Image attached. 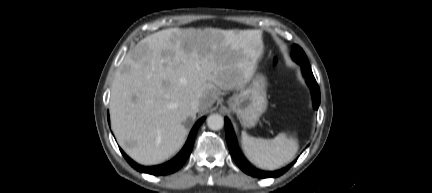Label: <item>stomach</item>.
Masks as SVG:
<instances>
[{"label": "stomach", "mask_w": 432, "mask_h": 193, "mask_svg": "<svg viewBox=\"0 0 432 193\" xmlns=\"http://www.w3.org/2000/svg\"><path fill=\"white\" fill-rule=\"evenodd\" d=\"M267 78L255 73L249 86L240 93L230 97L229 107L237 115L243 127H253L267 108Z\"/></svg>", "instance_id": "stomach-1"}]
</instances>
